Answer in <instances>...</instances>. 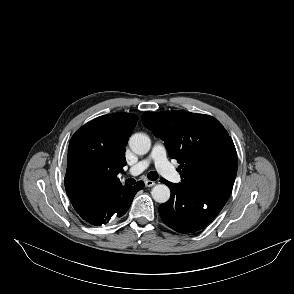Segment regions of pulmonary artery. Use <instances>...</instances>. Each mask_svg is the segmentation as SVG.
Masks as SVG:
<instances>
[{
    "label": "pulmonary artery",
    "instance_id": "obj_1",
    "mask_svg": "<svg viewBox=\"0 0 294 294\" xmlns=\"http://www.w3.org/2000/svg\"><path fill=\"white\" fill-rule=\"evenodd\" d=\"M150 163H153L155 168L166 178L172 181H180V175L175 171L167 159V153L162 143H155L150 155L132 166L128 175L136 176L148 168Z\"/></svg>",
    "mask_w": 294,
    "mask_h": 294
}]
</instances>
